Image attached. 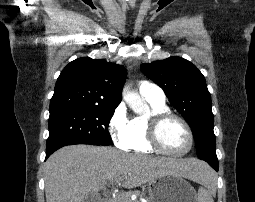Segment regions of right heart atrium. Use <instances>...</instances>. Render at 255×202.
I'll return each instance as SVG.
<instances>
[{
    "label": "right heart atrium",
    "instance_id": "1",
    "mask_svg": "<svg viewBox=\"0 0 255 202\" xmlns=\"http://www.w3.org/2000/svg\"><path fill=\"white\" fill-rule=\"evenodd\" d=\"M129 118L126 106L120 103L113 111L109 122L108 131L114 144L121 149H127L129 139Z\"/></svg>",
    "mask_w": 255,
    "mask_h": 202
}]
</instances>
